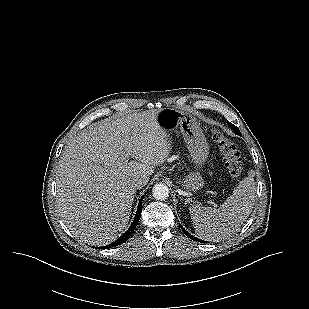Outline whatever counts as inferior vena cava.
<instances>
[{"label":"inferior vena cava","instance_id":"1","mask_svg":"<svg viewBox=\"0 0 309 309\" xmlns=\"http://www.w3.org/2000/svg\"><path fill=\"white\" fill-rule=\"evenodd\" d=\"M147 184V178L146 177H136L131 181V185L136 188L140 189L144 185Z\"/></svg>","mask_w":309,"mask_h":309}]
</instances>
